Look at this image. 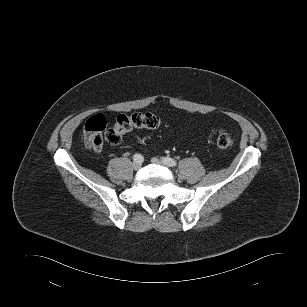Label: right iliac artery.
Here are the masks:
<instances>
[{
    "label": "right iliac artery",
    "instance_id": "1",
    "mask_svg": "<svg viewBox=\"0 0 307 307\" xmlns=\"http://www.w3.org/2000/svg\"><path fill=\"white\" fill-rule=\"evenodd\" d=\"M133 160H134V161H137V162H142V161H143V157H142V155H140V154H135V155L133 156Z\"/></svg>",
    "mask_w": 307,
    "mask_h": 307
}]
</instances>
